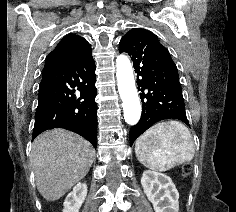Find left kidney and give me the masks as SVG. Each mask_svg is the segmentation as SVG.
<instances>
[{"instance_id": "left-kidney-1", "label": "left kidney", "mask_w": 236, "mask_h": 212, "mask_svg": "<svg viewBox=\"0 0 236 212\" xmlns=\"http://www.w3.org/2000/svg\"><path fill=\"white\" fill-rule=\"evenodd\" d=\"M141 184L155 212H178L179 193L170 177L146 170L143 172Z\"/></svg>"}]
</instances>
